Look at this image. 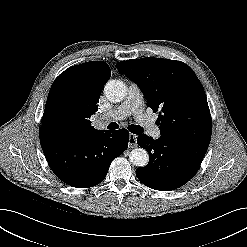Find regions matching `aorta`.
Segmentation results:
<instances>
[{"mask_svg":"<svg viewBox=\"0 0 247 247\" xmlns=\"http://www.w3.org/2000/svg\"><path fill=\"white\" fill-rule=\"evenodd\" d=\"M126 85L120 80H109L104 86V93L111 102H120L126 96ZM130 162L137 167H144L149 161L148 152L143 148H135L130 152Z\"/></svg>","mask_w":247,"mask_h":247,"instance_id":"aorta-1","label":"aorta"}]
</instances>
